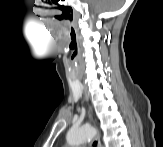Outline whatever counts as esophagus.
I'll return each instance as SVG.
<instances>
[{"instance_id": "esophagus-1", "label": "esophagus", "mask_w": 163, "mask_h": 147, "mask_svg": "<svg viewBox=\"0 0 163 147\" xmlns=\"http://www.w3.org/2000/svg\"><path fill=\"white\" fill-rule=\"evenodd\" d=\"M84 99H85V101H88V95L86 92L84 94ZM91 145H92V147H101V142H100V139L98 136H96L95 138L92 139Z\"/></svg>"}]
</instances>
